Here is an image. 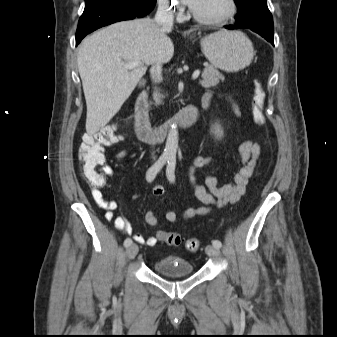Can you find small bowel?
Segmentation results:
<instances>
[{"mask_svg": "<svg viewBox=\"0 0 337 337\" xmlns=\"http://www.w3.org/2000/svg\"><path fill=\"white\" fill-rule=\"evenodd\" d=\"M212 98L213 96L211 94L204 95L201 104L206 105L208 108ZM225 99L230 104L234 113L239 115V108L234 99L229 95H226ZM128 154L129 151L127 149H123L115 155V158L116 160H122ZM239 156L242 162V167L235 174L232 182L223 185H219L218 178L215 174H209L205 179L204 185L197 183L194 175L195 171L212 165L214 160L211 157L200 155L192 158L188 167V180L194 189L195 196L204 205L196 208L191 207L184 209L182 211V217L185 220L192 219L196 216L207 215L212 211L214 206L222 207L240 200V198L245 194L248 181L258 165L261 156V146L250 140L243 141L239 146ZM104 172L108 176H112L114 174V170L110 166H105ZM164 193L165 190L162 186H154L153 195L155 197H161ZM91 194L97 206L106 210V220L112 221L118 231H121L126 235H133L134 240L140 244L155 246L158 243L159 238L157 235L145 238L139 233L134 234L131 223L122 214L115 213L116 210L120 209L118 203L113 200L105 199L99 188H93ZM165 218L168 222L173 224H175L178 220V216L175 211H168ZM145 221L150 226H157L159 224V217L156 212L148 211L145 214Z\"/></svg>", "mask_w": 337, "mask_h": 337, "instance_id": "1", "label": "small bowel"}]
</instances>
